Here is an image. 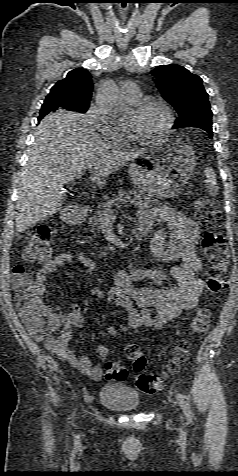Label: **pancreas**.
Masks as SVG:
<instances>
[{
  "instance_id": "cf45deb5",
  "label": "pancreas",
  "mask_w": 238,
  "mask_h": 476,
  "mask_svg": "<svg viewBox=\"0 0 238 476\" xmlns=\"http://www.w3.org/2000/svg\"><path fill=\"white\" fill-rule=\"evenodd\" d=\"M133 196V197H132ZM130 203L140 209H149L155 203L156 200L151 197H147L136 191H122L118 192V195L113 199H110L106 203L100 205L97 210H95L93 216L91 217V227L93 230H96L97 233H100V227L103 223V217L106 211L119 208L121 204ZM110 249V248H109Z\"/></svg>"
}]
</instances>
